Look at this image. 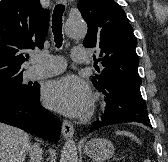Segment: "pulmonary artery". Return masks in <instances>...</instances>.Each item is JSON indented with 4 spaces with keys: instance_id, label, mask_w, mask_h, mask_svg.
Returning <instances> with one entry per match:
<instances>
[{
    "instance_id": "pulmonary-artery-1",
    "label": "pulmonary artery",
    "mask_w": 168,
    "mask_h": 162,
    "mask_svg": "<svg viewBox=\"0 0 168 162\" xmlns=\"http://www.w3.org/2000/svg\"><path fill=\"white\" fill-rule=\"evenodd\" d=\"M71 57L75 62H86L87 53L83 47H74ZM35 60L38 62L26 73L29 78L46 77L61 73L65 69V61L62 57L52 55H37Z\"/></svg>"
}]
</instances>
